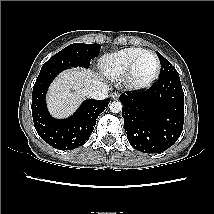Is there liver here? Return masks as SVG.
Segmentation results:
<instances>
[{
	"instance_id": "liver-1",
	"label": "liver",
	"mask_w": 214,
	"mask_h": 214,
	"mask_svg": "<svg viewBox=\"0 0 214 214\" xmlns=\"http://www.w3.org/2000/svg\"><path fill=\"white\" fill-rule=\"evenodd\" d=\"M98 82L100 77L91 70L71 69L61 73L49 89L50 113L57 118L69 116L85 97V89Z\"/></svg>"
}]
</instances>
